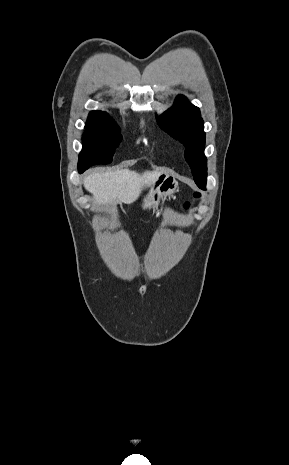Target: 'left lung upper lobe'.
<instances>
[{
  "mask_svg": "<svg viewBox=\"0 0 289 465\" xmlns=\"http://www.w3.org/2000/svg\"><path fill=\"white\" fill-rule=\"evenodd\" d=\"M160 127L186 147L185 158L189 163L194 181L205 189L207 160L204 156L205 132L199 108L178 96L172 108L158 117Z\"/></svg>",
  "mask_w": 289,
  "mask_h": 465,
  "instance_id": "1",
  "label": "left lung upper lobe"
}]
</instances>
